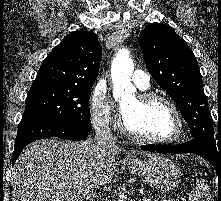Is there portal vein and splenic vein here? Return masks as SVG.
<instances>
[{"label": "portal vein and splenic vein", "instance_id": "portal-vein-and-splenic-vein-1", "mask_svg": "<svg viewBox=\"0 0 221 201\" xmlns=\"http://www.w3.org/2000/svg\"><path fill=\"white\" fill-rule=\"evenodd\" d=\"M143 201H151V199L144 197ZM165 201H167V200H165Z\"/></svg>", "mask_w": 221, "mask_h": 201}]
</instances>
